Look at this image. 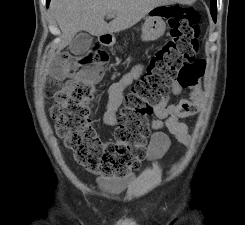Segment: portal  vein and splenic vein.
I'll list each match as a JSON object with an SVG mask.
<instances>
[{"instance_id": "1", "label": "portal vein and splenic vein", "mask_w": 245, "mask_h": 225, "mask_svg": "<svg viewBox=\"0 0 245 225\" xmlns=\"http://www.w3.org/2000/svg\"><path fill=\"white\" fill-rule=\"evenodd\" d=\"M107 16H108V18H113V17H115L114 14H108Z\"/></svg>"}]
</instances>
